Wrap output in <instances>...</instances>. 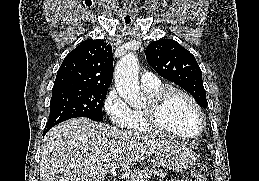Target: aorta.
I'll use <instances>...</instances> for the list:
<instances>
[{
    "label": "aorta",
    "mask_w": 259,
    "mask_h": 181,
    "mask_svg": "<svg viewBox=\"0 0 259 181\" xmlns=\"http://www.w3.org/2000/svg\"><path fill=\"white\" fill-rule=\"evenodd\" d=\"M138 70V59L135 53L129 52L118 61L114 72L117 92L131 107L135 108L145 102L139 86Z\"/></svg>",
    "instance_id": "1"
}]
</instances>
